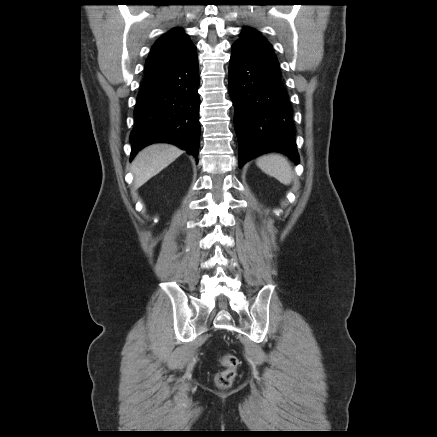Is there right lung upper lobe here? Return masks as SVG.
<instances>
[{
  "instance_id": "obj_1",
  "label": "right lung upper lobe",
  "mask_w": 437,
  "mask_h": 437,
  "mask_svg": "<svg viewBox=\"0 0 437 437\" xmlns=\"http://www.w3.org/2000/svg\"><path fill=\"white\" fill-rule=\"evenodd\" d=\"M196 54V47L181 28H173L152 46L146 60L145 77L178 65Z\"/></svg>"
}]
</instances>
